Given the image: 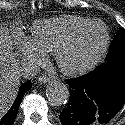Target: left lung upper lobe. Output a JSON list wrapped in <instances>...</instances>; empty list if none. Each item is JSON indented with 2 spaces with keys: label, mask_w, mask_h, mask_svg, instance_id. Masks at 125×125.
Listing matches in <instances>:
<instances>
[{
  "label": "left lung upper lobe",
  "mask_w": 125,
  "mask_h": 125,
  "mask_svg": "<svg viewBox=\"0 0 125 125\" xmlns=\"http://www.w3.org/2000/svg\"><path fill=\"white\" fill-rule=\"evenodd\" d=\"M125 55V30H120L110 46L107 58Z\"/></svg>",
  "instance_id": "5c2ea615"
}]
</instances>
